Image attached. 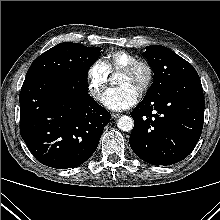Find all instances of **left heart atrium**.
<instances>
[{
    "label": "left heart atrium",
    "instance_id": "39dd6f15",
    "mask_svg": "<svg viewBox=\"0 0 220 220\" xmlns=\"http://www.w3.org/2000/svg\"><path fill=\"white\" fill-rule=\"evenodd\" d=\"M138 99V91L130 85H120L108 89L103 97L102 103L111 110H124L133 106Z\"/></svg>",
    "mask_w": 220,
    "mask_h": 220
}]
</instances>
